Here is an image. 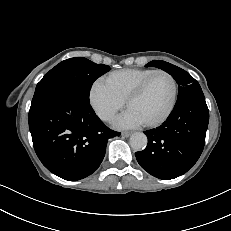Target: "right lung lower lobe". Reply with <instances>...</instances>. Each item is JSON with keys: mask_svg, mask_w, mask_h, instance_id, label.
I'll list each match as a JSON object with an SVG mask.
<instances>
[{"mask_svg": "<svg viewBox=\"0 0 231 231\" xmlns=\"http://www.w3.org/2000/svg\"><path fill=\"white\" fill-rule=\"evenodd\" d=\"M29 129L42 164L69 181L92 174L105 156L108 139L120 135L98 118L89 100L68 91L31 107Z\"/></svg>", "mask_w": 231, "mask_h": 231, "instance_id": "right-lung-lower-lobe-1", "label": "right lung lower lobe"}]
</instances>
